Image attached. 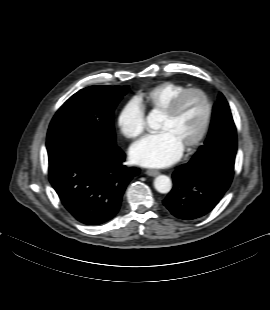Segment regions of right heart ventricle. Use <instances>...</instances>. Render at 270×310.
Listing matches in <instances>:
<instances>
[{
  "label": "right heart ventricle",
  "mask_w": 270,
  "mask_h": 310,
  "mask_svg": "<svg viewBox=\"0 0 270 310\" xmlns=\"http://www.w3.org/2000/svg\"><path fill=\"white\" fill-rule=\"evenodd\" d=\"M186 88L185 85L166 81L143 91L138 98L142 106L148 111L162 112L173 97Z\"/></svg>",
  "instance_id": "right-heart-ventricle-1"
}]
</instances>
